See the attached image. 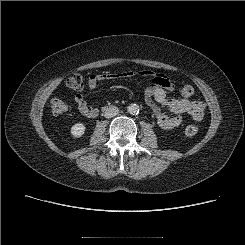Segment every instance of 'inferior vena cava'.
Segmentation results:
<instances>
[{"instance_id": "602c4592", "label": "inferior vena cava", "mask_w": 245, "mask_h": 245, "mask_svg": "<svg viewBox=\"0 0 245 245\" xmlns=\"http://www.w3.org/2000/svg\"><path fill=\"white\" fill-rule=\"evenodd\" d=\"M119 114V110L117 108H109L105 111L104 116L106 118L115 117Z\"/></svg>"}]
</instances>
